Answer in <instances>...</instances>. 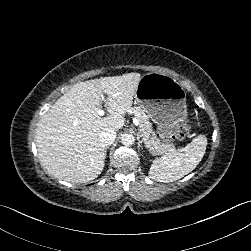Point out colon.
Instances as JSON below:
<instances>
[{
  "label": "colon",
  "mask_w": 251,
  "mask_h": 251,
  "mask_svg": "<svg viewBox=\"0 0 251 251\" xmlns=\"http://www.w3.org/2000/svg\"><path fill=\"white\" fill-rule=\"evenodd\" d=\"M192 128L193 122L188 118L182 122L161 126L158 135L165 142L176 143L187 138Z\"/></svg>",
  "instance_id": "1"
}]
</instances>
